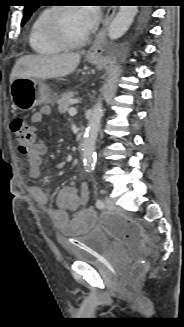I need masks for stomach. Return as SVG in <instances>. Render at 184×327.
<instances>
[{
    "mask_svg": "<svg viewBox=\"0 0 184 327\" xmlns=\"http://www.w3.org/2000/svg\"><path fill=\"white\" fill-rule=\"evenodd\" d=\"M90 63H96L98 55H87ZM13 106L22 111H28L36 106L54 102L49 87L40 79L18 77L13 80L10 87Z\"/></svg>",
    "mask_w": 184,
    "mask_h": 327,
    "instance_id": "1",
    "label": "stomach"
}]
</instances>
